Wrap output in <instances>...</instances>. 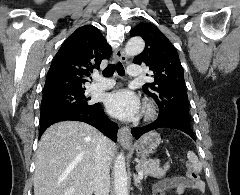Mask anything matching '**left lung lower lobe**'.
<instances>
[{"mask_svg": "<svg viewBox=\"0 0 240 195\" xmlns=\"http://www.w3.org/2000/svg\"><path fill=\"white\" fill-rule=\"evenodd\" d=\"M158 128L178 129L190 135L195 140L190 121L175 116L158 117L156 121L149 125L131 129V133L136 139H138L142 134Z\"/></svg>", "mask_w": 240, "mask_h": 195, "instance_id": "obj_1", "label": "left lung lower lobe"}]
</instances>
